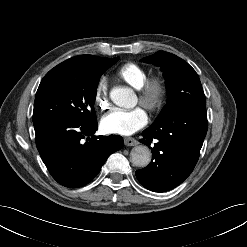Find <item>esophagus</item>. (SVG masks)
I'll list each match as a JSON object with an SVG mask.
<instances>
[{
  "mask_svg": "<svg viewBox=\"0 0 247 247\" xmlns=\"http://www.w3.org/2000/svg\"><path fill=\"white\" fill-rule=\"evenodd\" d=\"M124 143L127 146H136L138 144V141L132 137H125Z\"/></svg>",
  "mask_w": 247,
  "mask_h": 247,
  "instance_id": "obj_1",
  "label": "esophagus"
}]
</instances>
